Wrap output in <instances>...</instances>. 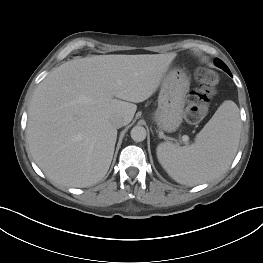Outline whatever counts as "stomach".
Here are the masks:
<instances>
[{
  "mask_svg": "<svg viewBox=\"0 0 263 263\" xmlns=\"http://www.w3.org/2000/svg\"><path fill=\"white\" fill-rule=\"evenodd\" d=\"M189 86V78L182 69L172 68L164 77L153 118L165 132H174L181 125Z\"/></svg>",
  "mask_w": 263,
  "mask_h": 263,
  "instance_id": "0dacf381",
  "label": "stomach"
}]
</instances>
